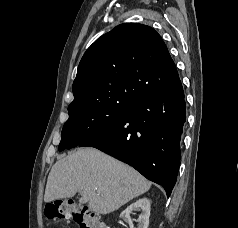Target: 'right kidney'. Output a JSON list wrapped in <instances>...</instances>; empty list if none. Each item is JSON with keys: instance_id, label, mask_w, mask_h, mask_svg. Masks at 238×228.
<instances>
[{"instance_id": "obj_1", "label": "right kidney", "mask_w": 238, "mask_h": 228, "mask_svg": "<svg viewBox=\"0 0 238 228\" xmlns=\"http://www.w3.org/2000/svg\"><path fill=\"white\" fill-rule=\"evenodd\" d=\"M151 202L147 198H141L135 203L131 204L127 209H125L120 217L127 220L130 228H134L130 214L132 211H141V214L138 218V227L137 228H148L149 225V216H150Z\"/></svg>"}]
</instances>
